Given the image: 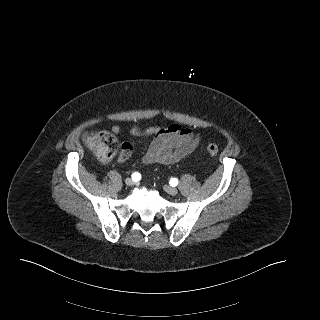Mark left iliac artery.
<instances>
[{
  "mask_svg": "<svg viewBox=\"0 0 320 320\" xmlns=\"http://www.w3.org/2000/svg\"><path fill=\"white\" fill-rule=\"evenodd\" d=\"M178 184V179L177 178H172L171 180H170V185L171 186H176Z\"/></svg>",
  "mask_w": 320,
  "mask_h": 320,
  "instance_id": "obj_1",
  "label": "left iliac artery"
}]
</instances>
